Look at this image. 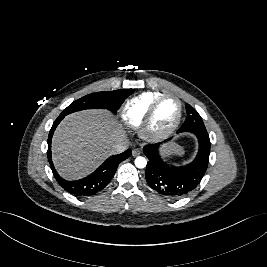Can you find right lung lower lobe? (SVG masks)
<instances>
[{
    "label": "right lung lower lobe",
    "mask_w": 267,
    "mask_h": 267,
    "mask_svg": "<svg viewBox=\"0 0 267 267\" xmlns=\"http://www.w3.org/2000/svg\"><path fill=\"white\" fill-rule=\"evenodd\" d=\"M60 121V119H56L48 136L47 155L53 175L55 176V179L57 180L59 185L70 194H73L75 196L94 195L108 185V183L113 178L119 163H121L123 160L127 159L131 155V150L128 149L121 154L109 157L95 172L83 179L77 181L64 180L55 170L51 158V140L53 133Z\"/></svg>",
    "instance_id": "obj_1"
}]
</instances>
